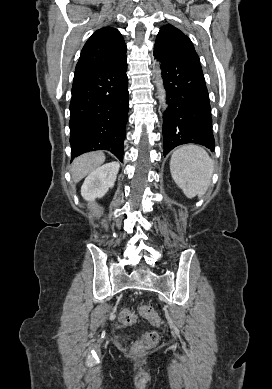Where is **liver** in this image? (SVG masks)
Returning <instances> with one entry per match:
<instances>
[{"mask_svg": "<svg viewBox=\"0 0 272 389\" xmlns=\"http://www.w3.org/2000/svg\"><path fill=\"white\" fill-rule=\"evenodd\" d=\"M105 161L103 152H92L81 155L76 158L71 167L72 179L75 183L82 180Z\"/></svg>", "mask_w": 272, "mask_h": 389, "instance_id": "6515ba94", "label": "liver"}]
</instances>
